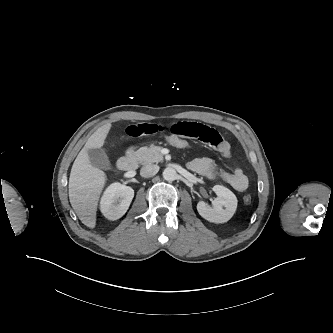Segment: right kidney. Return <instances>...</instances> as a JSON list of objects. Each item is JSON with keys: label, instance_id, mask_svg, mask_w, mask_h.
Instances as JSON below:
<instances>
[{"label": "right kidney", "instance_id": "obj_1", "mask_svg": "<svg viewBox=\"0 0 333 333\" xmlns=\"http://www.w3.org/2000/svg\"><path fill=\"white\" fill-rule=\"evenodd\" d=\"M133 197L134 190L131 187L113 183L101 199L100 210L107 219L117 220L126 213Z\"/></svg>", "mask_w": 333, "mask_h": 333}]
</instances>
